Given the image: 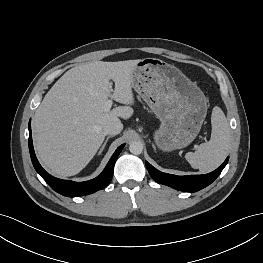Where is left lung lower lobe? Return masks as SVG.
<instances>
[{"label": "left lung lower lobe", "instance_id": "1", "mask_svg": "<svg viewBox=\"0 0 263 263\" xmlns=\"http://www.w3.org/2000/svg\"><path fill=\"white\" fill-rule=\"evenodd\" d=\"M229 157L222 163V165L211 173L205 175H188V176H177L172 174L163 173L151 164L146 162V167L149 171L150 176L158 183L167 185L174 189L184 192H196L208 185H210L221 173L226 164L228 163Z\"/></svg>", "mask_w": 263, "mask_h": 263}]
</instances>
